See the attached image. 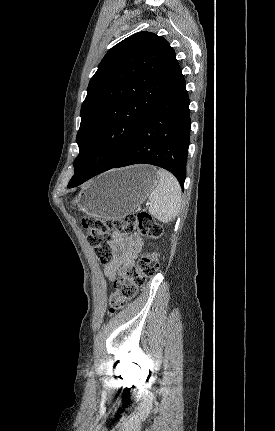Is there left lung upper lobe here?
<instances>
[{
  "label": "left lung upper lobe",
  "instance_id": "1",
  "mask_svg": "<svg viewBox=\"0 0 275 431\" xmlns=\"http://www.w3.org/2000/svg\"><path fill=\"white\" fill-rule=\"evenodd\" d=\"M178 68L168 41L151 32L135 33L106 53L81 106L74 176H94L122 156ZM98 150L110 154L95 162Z\"/></svg>",
  "mask_w": 275,
  "mask_h": 431
}]
</instances>
